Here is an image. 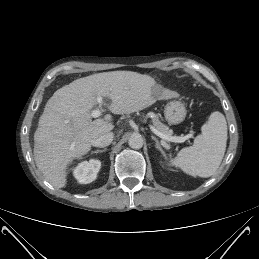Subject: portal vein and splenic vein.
I'll return each mask as SVG.
<instances>
[{"label": "portal vein and splenic vein", "mask_w": 259, "mask_h": 259, "mask_svg": "<svg viewBox=\"0 0 259 259\" xmlns=\"http://www.w3.org/2000/svg\"><path fill=\"white\" fill-rule=\"evenodd\" d=\"M96 100H97V103H98V104L102 105L103 99H102L101 96H98V97L96 98ZM100 115H101V111L98 110V109L93 110V111L91 112V116H92L93 118H97V117H99ZM149 127H150V129L152 130V132H153L155 135H157L158 137H160V138H161L162 140H164V141H171V142H178V143H181V142H184V141L186 140V137H176V136H168V135H165V134L161 133L160 131H158V130H157L154 126H152V125H150Z\"/></svg>", "instance_id": "18ae733b"}]
</instances>
